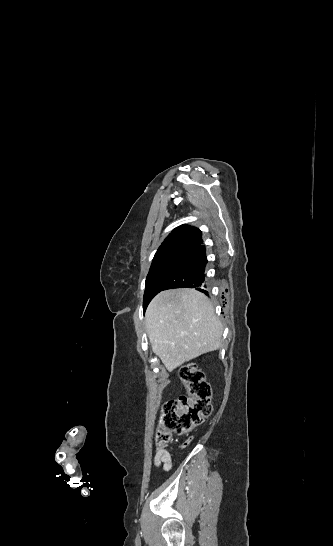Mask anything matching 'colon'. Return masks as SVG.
<instances>
[{
	"label": "colon",
	"mask_w": 333,
	"mask_h": 546,
	"mask_svg": "<svg viewBox=\"0 0 333 546\" xmlns=\"http://www.w3.org/2000/svg\"><path fill=\"white\" fill-rule=\"evenodd\" d=\"M186 395L169 400L161 412L156 432L158 446L166 447L173 434H187L199 427L212 412L211 388L203 371L195 364L179 368Z\"/></svg>",
	"instance_id": "colon-1"
}]
</instances>
